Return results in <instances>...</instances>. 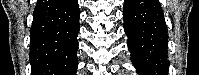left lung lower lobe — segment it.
<instances>
[{"label":"left lung lower lobe","instance_id":"left-lung-lower-lobe-1","mask_svg":"<svg viewBox=\"0 0 199 75\" xmlns=\"http://www.w3.org/2000/svg\"><path fill=\"white\" fill-rule=\"evenodd\" d=\"M124 31L140 75H167L168 30L157 0H124Z\"/></svg>","mask_w":199,"mask_h":75}]
</instances>
